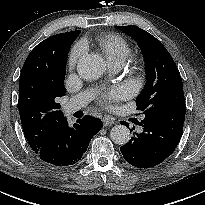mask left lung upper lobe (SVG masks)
Instances as JSON below:
<instances>
[{
  "instance_id": "5c2ea615",
  "label": "left lung upper lobe",
  "mask_w": 205,
  "mask_h": 205,
  "mask_svg": "<svg viewBox=\"0 0 205 205\" xmlns=\"http://www.w3.org/2000/svg\"><path fill=\"white\" fill-rule=\"evenodd\" d=\"M139 44L146 62V85L139 95L137 110L148 115L161 106L185 105L179 70L164 45L145 30L134 26H118Z\"/></svg>"
}]
</instances>
